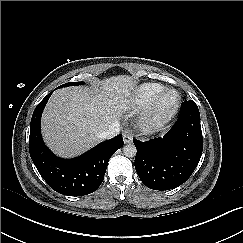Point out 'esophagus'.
<instances>
[{"label":"esophagus","instance_id":"esophagus-1","mask_svg":"<svg viewBox=\"0 0 243 243\" xmlns=\"http://www.w3.org/2000/svg\"><path fill=\"white\" fill-rule=\"evenodd\" d=\"M123 141L125 144H129L133 141V134L130 133L129 131H125L123 133Z\"/></svg>","mask_w":243,"mask_h":243}]
</instances>
